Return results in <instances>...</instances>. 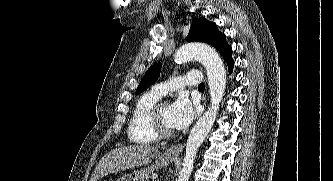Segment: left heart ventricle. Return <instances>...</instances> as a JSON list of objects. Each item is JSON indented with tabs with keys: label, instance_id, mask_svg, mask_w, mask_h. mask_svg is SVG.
<instances>
[{
	"label": "left heart ventricle",
	"instance_id": "b2bd125f",
	"mask_svg": "<svg viewBox=\"0 0 333 181\" xmlns=\"http://www.w3.org/2000/svg\"><path fill=\"white\" fill-rule=\"evenodd\" d=\"M161 121L163 125L168 129H173L171 124V105H165L161 111Z\"/></svg>",
	"mask_w": 333,
	"mask_h": 181
}]
</instances>
